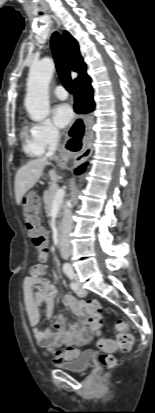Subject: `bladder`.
I'll return each mask as SVG.
<instances>
[{"label":"bladder","mask_w":155,"mask_h":413,"mask_svg":"<svg viewBox=\"0 0 155 413\" xmlns=\"http://www.w3.org/2000/svg\"><path fill=\"white\" fill-rule=\"evenodd\" d=\"M92 351H84L78 354L75 358L69 360L66 363H57L55 366L59 369L83 373L88 370L92 362Z\"/></svg>","instance_id":"bladder-1"}]
</instances>
